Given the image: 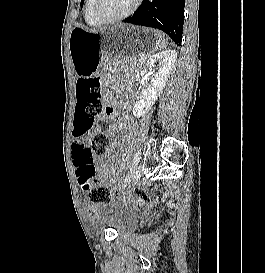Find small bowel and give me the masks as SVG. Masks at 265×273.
Here are the masks:
<instances>
[{
	"instance_id": "c3829d8e",
	"label": "small bowel",
	"mask_w": 265,
	"mask_h": 273,
	"mask_svg": "<svg viewBox=\"0 0 265 273\" xmlns=\"http://www.w3.org/2000/svg\"><path fill=\"white\" fill-rule=\"evenodd\" d=\"M109 114L112 116H117L116 105L114 102L107 98ZM119 123L116 120H112L108 128V134L114 136L117 132ZM87 135L85 134V139H74L71 145V162L74 169L75 176L79 183V176L82 170L93 168L95 171H98L99 177L101 179H110L112 178V172L110 165L106 161V156L112 154V149H110L105 155L99 156L94 159H85L84 150L86 147ZM87 216L89 217H98L100 210L92 206H87L85 209Z\"/></svg>"
}]
</instances>
